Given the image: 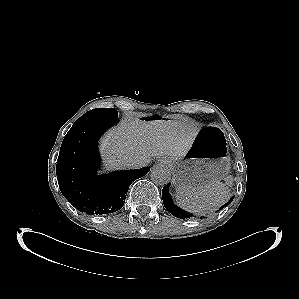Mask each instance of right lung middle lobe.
Masks as SVG:
<instances>
[{"mask_svg": "<svg viewBox=\"0 0 299 299\" xmlns=\"http://www.w3.org/2000/svg\"><path fill=\"white\" fill-rule=\"evenodd\" d=\"M117 117L118 112L114 108H96L86 112L83 116L77 119L75 123L116 120Z\"/></svg>", "mask_w": 299, "mask_h": 299, "instance_id": "obj_1", "label": "right lung middle lobe"}]
</instances>
